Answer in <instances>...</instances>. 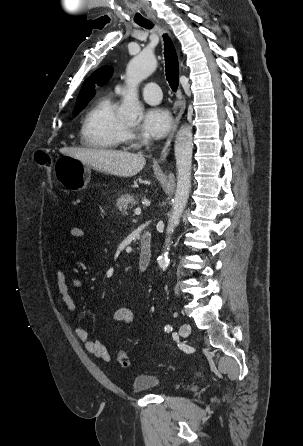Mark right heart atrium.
I'll use <instances>...</instances> for the list:
<instances>
[{
	"instance_id": "obj_1",
	"label": "right heart atrium",
	"mask_w": 303,
	"mask_h": 446,
	"mask_svg": "<svg viewBox=\"0 0 303 446\" xmlns=\"http://www.w3.org/2000/svg\"><path fill=\"white\" fill-rule=\"evenodd\" d=\"M125 137L128 138V139H134V138H135V135H134V133H133L131 130L126 129V131H125Z\"/></svg>"
}]
</instances>
